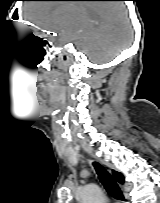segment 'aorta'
I'll list each match as a JSON object with an SVG mask.
<instances>
[{
	"mask_svg": "<svg viewBox=\"0 0 160 203\" xmlns=\"http://www.w3.org/2000/svg\"><path fill=\"white\" fill-rule=\"evenodd\" d=\"M81 203H105L102 189L96 184H88L80 193Z\"/></svg>",
	"mask_w": 160,
	"mask_h": 203,
	"instance_id": "1",
	"label": "aorta"
}]
</instances>
